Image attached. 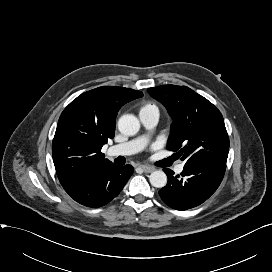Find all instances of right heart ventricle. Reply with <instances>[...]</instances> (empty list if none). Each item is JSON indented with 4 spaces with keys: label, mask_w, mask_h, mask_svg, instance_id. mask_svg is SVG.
I'll list each match as a JSON object with an SVG mask.
<instances>
[{
    "label": "right heart ventricle",
    "mask_w": 272,
    "mask_h": 272,
    "mask_svg": "<svg viewBox=\"0 0 272 272\" xmlns=\"http://www.w3.org/2000/svg\"><path fill=\"white\" fill-rule=\"evenodd\" d=\"M149 109H157V107L152 103H146L145 105L141 107L140 111L149 110Z\"/></svg>",
    "instance_id": "obj_1"
}]
</instances>
